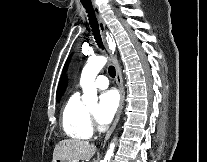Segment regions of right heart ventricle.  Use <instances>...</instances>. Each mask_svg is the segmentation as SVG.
<instances>
[{
    "label": "right heart ventricle",
    "instance_id": "e07e8e85",
    "mask_svg": "<svg viewBox=\"0 0 207 162\" xmlns=\"http://www.w3.org/2000/svg\"><path fill=\"white\" fill-rule=\"evenodd\" d=\"M63 131L71 138L87 140L92 136L88 109L78 93L72 94L67 100L61 115Z\"/></svg>",
    "mask_w": 207,
    "mask_h": 162
}]
</instances>
